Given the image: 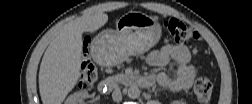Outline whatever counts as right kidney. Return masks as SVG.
I'll use <instances>...</instances> for the list:
<instances>
[{
	"label": "right kidney",
	"instance_id": "ca27d5eb",
	"mask_svg": "<svg viewBox=\"0 0 252 104\" xmlns=\"http://www.w3.org/2000/svg\"><path fill=\"white\" fill-rule=\"evenodd\" d=\"M88 97V93L84 91L76 92L70 95L65 103L66 104H80L84 99Z\"/></svg>",
	"mask_w": 252,
	"mask_h": 104
}]
</instances>
